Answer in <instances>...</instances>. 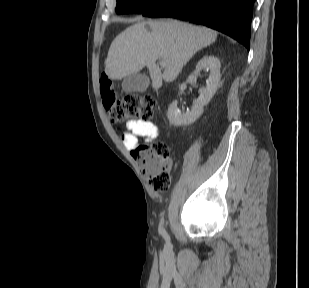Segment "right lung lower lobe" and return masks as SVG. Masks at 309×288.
I'll list each match as a JSON object with an SVG mask.
<instances>
[{"label":"right lung lower lobe","instance_id":"obj_1","mask_svg":"<svg viewBox=\"0 0 309 288\" xmlns=\"http://www.w3.org/2000/svg\"><path fill=\"white\" fill-rule=\"evenodd\" d=\"M255 0H163L141 13L148 17H173L223 32L249 50Z\"/></svg>","mask_w":309,"mask_h":288}]
</instances>
